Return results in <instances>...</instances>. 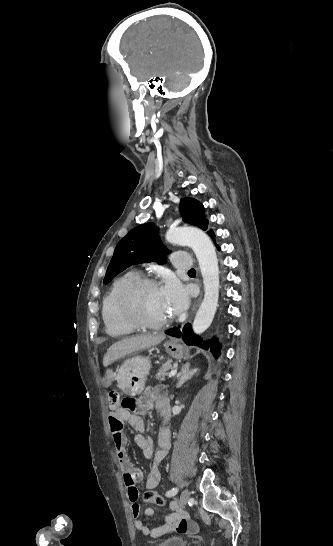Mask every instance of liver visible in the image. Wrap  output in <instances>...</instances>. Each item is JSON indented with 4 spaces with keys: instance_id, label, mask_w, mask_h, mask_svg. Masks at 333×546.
<instances>
[{
    "instance_id": "liver-1",
    "label": "liver",
    "mask_w": 333,
    "mask_h": 546,
    "mask_svg": "<svg viewBox=\"0 0 333 546\" xmlns=\"http://www.w3.org/2000/svg\"><path fill=\"white\" fill-rule=\"evenodd\" d=\"M164 339V334L140 335L125 338L109 347L104 356L103 365L108 366L119 358H122L130 353L156 346Z\"/></svg>"
}]
</instances>
